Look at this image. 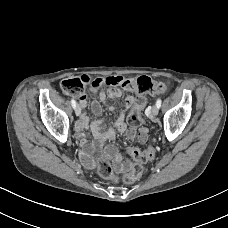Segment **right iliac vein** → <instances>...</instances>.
<instances>
[{"mask_svg":"<svg viewBox=\"0 0 228 228\" xmlns=\"http://www.w3.org/2000/svg\"><path fill=\"white\" fill-rule=\"evenodd\" d=\"M75 114H76L77 116H80V114H81V109H80L79 106H76V107H75Z\"/></svg>","mask_w":228,"mask_h":228,"instance_id":"right-iliac-vein-1","label":"right iliac vein"}]
</instances>
